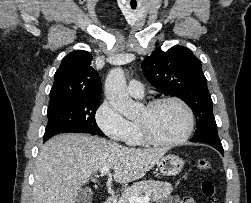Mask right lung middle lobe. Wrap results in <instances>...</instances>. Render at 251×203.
I'll use <instances>...</instances> for the list:
<instances>
[{
	"mask_svg": "<svg viewBox=\"0 0 251 203\" xmlns=\"http://www.w3.org/2000/svg\"><path fill=\"white\" fill-rule=\"evenodd\" d=\"M100 99H82L48 107L44 142L59 133H90L103 136L95 121Z\"/></svg>",
	"mask_w": 251,
	"mask_h": 203,
	"instance_id": "right-lung-middle-lobe-1",
	"label": "right lung middle lobe"
}]
</instances>
